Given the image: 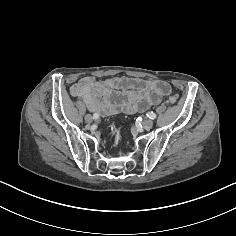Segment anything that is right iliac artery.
Instances as JSON below:
<instances>
[{
  "instance_id": "obj_1",
  "label": "right iliac artery",
  "mask_w": 236,
  "mask_h": 236,
  "mask_svg": "<svg viewBox=\"0 0 236 236\" xmlns=\"http://www.w3.org/2000/svg\"><path fill=\"white\" fill-rule=\"evenodd\" d=\"M99 118V115L97 113L93 114V119H98Z\"/></svg>"
}]
</instances>
